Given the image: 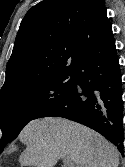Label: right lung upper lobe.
Returning <instances> with one entry per match:
<instances>
[{
    "label": "right lung upper lobe",
    "mask_w": 125,
    "mask_h": 167,
    "mask_svg": "<svg viewBox=\"0 0 125 167\" xmlns=\"http://www.w3.org/2000/svg\"><path fill=\"white\" fill-rule=\"evenodd\" d=\"M111 27L104 0H43L23 18L0 99L65 72H74Z\"/></svg>",
    "instance_id": "cb5924a9"
}]
</instances>
